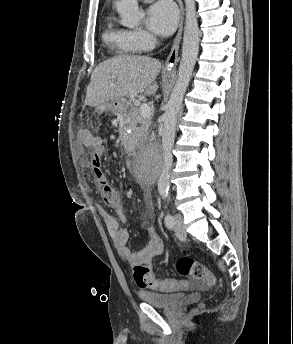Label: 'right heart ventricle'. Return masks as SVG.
Here are the masks:
<instances>
[{
	"mask_svg": "<svg viewBox=\"0 0 293 344\" xmlns=\"http://www.w3.org/2000/svg\"><path fill=\"white\" fill-rule=\"evenodd\" d=\"M104 42L119 55H135L139 53L132 43L129 31L118 27L111 16L106 18V26L103 31Z\"/></svg>",
	"mask_w": 293,
	"mask_h": 344,
	"instance_id": "obj_1",
	"label": "right heart ventricle"
}]
</instances>
